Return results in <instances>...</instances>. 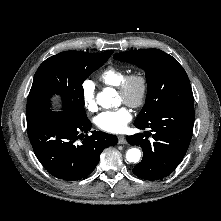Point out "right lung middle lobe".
I'll return each mask as SVG.
<instances>
[{
    "label": "right lung middle lobe",
    "mask_w": 221,
    "mask_h": 221,
    "mask_svg": "<svg viewBox=\"0 0 221 221\" xmlns=\"http://www.w3.org/2000/svg\"><path fill=\"white\" fill-rule=\"evenodd\" d=\"M111 54L110 50L99 54L66 51L46 59L35 73L27 113L39 108L50 109V98L60 95L63 112L87 117L82 84Z\"/></svg>",
    "instance_id": "right-lung-middle-lobe-1"
}]
</instances>
